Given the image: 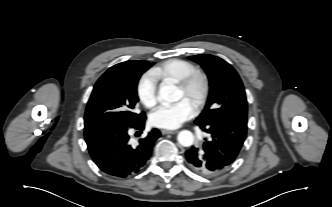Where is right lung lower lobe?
<instances>
[{
    "label": "right lung lower lobe",
    "mask_w": 332,
    "mask_h": 207,
    "mask_svg": "<svg viewBox=\"0 0 332 207\" xmlns=\"http://www.w3.org/2000/svg\"><path fill=\"white\" fill-rule=\"evenodd\" d=\"M146 117L129 125L102 126L85 130L84 136L89 153L96 165L115 177H128L138 173L151 156L155 141L161 133L151 130L137 146L129 144V128L143 130Z\"/></svg>",
    "instance_id": "98d812e1"
}]
</instances>
